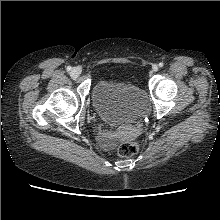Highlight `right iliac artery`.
Listing matches in <instances>:
<instances>
[{
	"instance_id": "82829eb1",
	"label": "right iliac artery",
	"mask_w": 220,
	"mask_h": 220,
	"mask_svg": "<svg viewBox=\"0 0 220 220\" xmlns=\"http://www.w3.org/2000/svg\"><path fill=\"white\" fill-rule=\"evenodd\" d=\"M72 68L70 66L67 67V70L70 71Z\"/></svg>"
}]
</instances>
